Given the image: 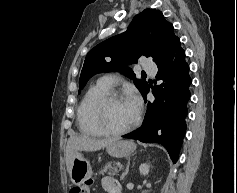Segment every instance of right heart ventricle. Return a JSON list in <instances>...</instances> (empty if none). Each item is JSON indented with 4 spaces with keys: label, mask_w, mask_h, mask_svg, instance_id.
Returning a JSON list of instances; mask_svg holds the SVG:
<instances>
[{
    "label": "right heart ventricle",
    "mask_w": 237,
    "mask_h": 193,
    "mask_svg": "<svg viewBox=\"0 0 237 193\" xmlns=\"http://www.w3.org/2000/svg\"><path fill=\"white\" fill-rule=\"evenodd\" d=\"M110 92L100 82L91 86L83 96L77 110V124L81 133L89 136H103L93 120V110L98 100Z\"/></svg>",
    "instance_id": "e07e8e85"
}]
</instances>
